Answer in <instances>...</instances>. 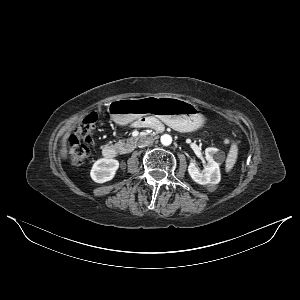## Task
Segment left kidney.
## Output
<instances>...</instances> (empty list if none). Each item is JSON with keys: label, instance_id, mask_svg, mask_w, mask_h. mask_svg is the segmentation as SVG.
<instances>
[{"label": "left kidney", "instance_id": "5707ae66", "mask_svg": "<svg viewBox=\"0 0 300 300\" xmlns=\"http://www.w3.org/2000/svg\"><path fill=\"white\" fill-rule=\"evenodd\" d=\"M207 164L203 172H200L194 161L188 166V172L191 178L201 185H216L220 182L221 174L219 165L223 161L224 154L217 148L209 147L205 150Z\"/></svg>", "mask_w": 300, "mask_h": 300}]
</instances>
